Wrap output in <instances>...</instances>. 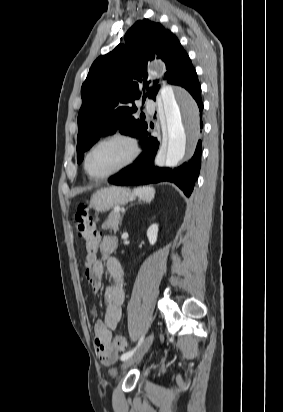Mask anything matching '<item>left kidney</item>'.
Returning <instances> with one entry per match:
<instances>
[{
    "mask_svg": "<svg viewBox=\"0 0 283 412\" xmlns=\"http://www.w3.org/2000/svg\"><path fill=\"white\" fill-rule=\"evenodd\" d=\"M157 236H158V225L153 224L147 230V237L151 245H154L156 243Z\"/></svg>",
    "mask_w": 283,
    "mask_h": 412,
    "instance_id": "left-kidney-1",
    "label": "left kidney"
}]
</instances>
